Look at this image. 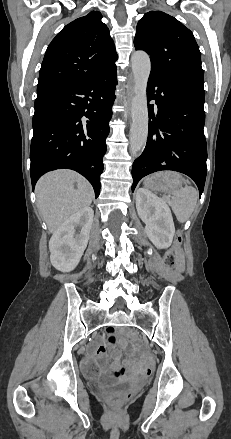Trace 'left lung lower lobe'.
Returning <instances> with one entry per match:
<instances>
[{
  "mask_svg": "<svg viewBox=\"0 0 231 439\" xmlns=\"http://www.w3.org/2000/svg\"><path fill=\"white\" fill-rule=\"evenodd\" d=\"M204 82L184 78L150 76L148 101L149 131L145 150L132 167L134 191L144 176L174 170L191 177L203 192L206 178L207 145L204 136Z\"/></svg>",
  "mask_w": 231,
  "mask_h": 439,
  "instance_id": "obj_1",
  "label": "left lung lower lobe"
}]
</instances>
